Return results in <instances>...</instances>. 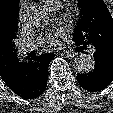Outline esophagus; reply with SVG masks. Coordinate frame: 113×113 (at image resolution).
Segmentation results:
<instances>
[{
    "label": "esophagus",
    "instance_id": "1",
    "mask_svg": "<svg viewBox=\"0 0 113 113\" xmlns=\"http://www.w3.org/2000/svg\"><path fill=\"white\" fill-rule=\"evenodd\" d=\"M65 55H67L68 57H74L77 55V52L73 51V50H66L63 52Z\"/></svg>",
    "mask_w": 113,
    "mask_h": 113
}]
</instances>
